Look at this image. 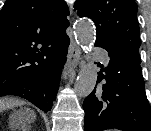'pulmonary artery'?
<instances>
[{"mask_svg":"<svg viewBox=\"0 0 151 131\" xmlns=\"http://www.w3.org/2000/svg\"><path fill=\"white\" fill-rule=\"evenodd\" d=\"M95 55L102 60L103 62L107 63V57L105 55V53L103 51H101L100 49H96L95 50Z\"/></svg>","mask_w":151,"mask_h":131,"instance_id":"obj_1","label":"pulmonary artery"}]
</instances>
